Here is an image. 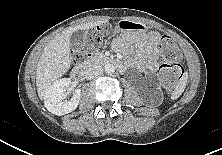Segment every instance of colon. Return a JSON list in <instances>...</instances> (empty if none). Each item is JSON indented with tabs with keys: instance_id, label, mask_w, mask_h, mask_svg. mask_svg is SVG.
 Returning <instances> with one entry per match:
<instances>
[{
	"instance_id": "obj_1",
	"label": "colon",
	"mask_w": 222,
	"mask_h": 155,
	"mask_svg": "<svg viewBox=\"0 0 222 155\" xmlns=\"http://www.w3.org/2000/svg\"><path fill=\"white\" fill-rule=\"evenodd\" d=\"M107 32L105 26H97L87 34V42L94 47L100 45ZM158 46L162 52L163 62L159 68V77L165 89L171 91L183 76V67L175 60L179 57V50L173 43L170 36L163 35L158 38ZM83 53L73 50L72 57L74 61L81 59Z\"/></svg>"
}]
</instances>
